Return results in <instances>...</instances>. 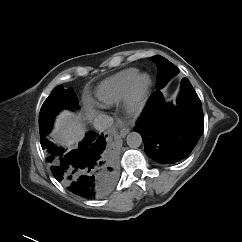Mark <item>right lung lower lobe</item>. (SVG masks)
Here are the masks:
<instances>
[{"label": "right lung lower lobe", "mask_w": 242, "mask_h": 242, "mask_svg": "<svg viewBox=\"0 0 242 242\" xmlns=\"http://www.w3.org/2000/svg\"><path fill=\"white\" fill-rule=\"evenodd\" d=\"M41 146L54 177L73 194L86 199L98 198L114 185V166L103 153L106 146L103 135L88 133L78 148L70 152L55 146L46 137L41 139Z\"/></svg>", "instance_id": "98d812e1"}]
</instances>
